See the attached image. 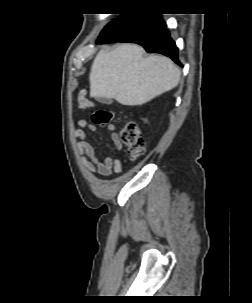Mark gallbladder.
<instances>
[{"label": "gallbladder", "mask_w": 252, "mask_h": 303, "mask_svg": "<svg viewBox=\"0 0 252 303\" xmlns=\"http://www.w3.org/2000/svg\"><path fill=\"white\" fill-rule=\"evenodd\" d=\"M96 99H97L98 102L104 103V104H111L113 102V100L110 99V98L98 97Z\"/></svg>", "instance_id": "1"}]
</instances>
